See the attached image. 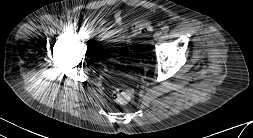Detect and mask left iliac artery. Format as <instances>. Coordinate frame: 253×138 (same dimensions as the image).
Segmentation results:
<instances>
[{
  "label": "left iliac artery",
  "mask_w": 253,
  "mask_h": 138,
  "mask_svg": "<svg viewBox=\"0 0 253 138\" xmlns=\"http://www.w3.org/2000/svg\"><path fill=\"white\" fill-rule=\"evenodd\" d=\"M161 29H162L163 32H167L168 29H169V27L165 25V26H163Z\"/></svg>",
  "instance_id": "obj_1"
}]
</instances>
